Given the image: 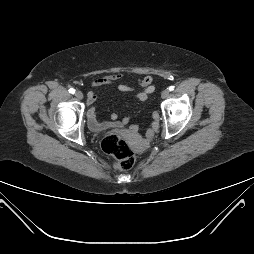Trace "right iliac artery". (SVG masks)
<instances>
[{"label": "right iliac artery", "mask_w": 254, "mask_h": 254, "mask_svg": "<svg viewBox=\"0 0 254 254\" xmlns=\"http://www.w3.org/2000/svg\"><path fill=\"white\" fill-rule=\"evenodd\" d=\"M69 92H70L71 94H74V93H75V90H74L73 88H71V89H69Z\"/></svg>", "instance_id": "obj_1"}]
</instances>
